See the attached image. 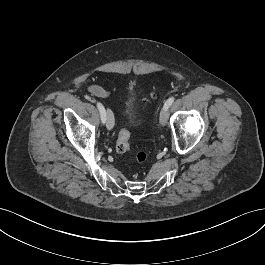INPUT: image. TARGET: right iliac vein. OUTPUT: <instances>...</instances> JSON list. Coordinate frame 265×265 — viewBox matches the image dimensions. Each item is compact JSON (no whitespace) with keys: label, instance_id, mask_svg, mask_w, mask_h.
I'll return each instance as SVG.
<instances>
[{"label":"right iliac vein","instance_id":"right-iliac-vein-1","mask_svg":"<svg viewBox=\"0 0 265 265\" xmlns=\"http://www.w3.org/2000/svg\"><path fill=\"white\" fill-rule=\"evenodd\" d=\"M114 126V116L110 109L106 110V127L111 130Z\"/></svg>","mask_w":265,"mask_h":265}]
</instances>
